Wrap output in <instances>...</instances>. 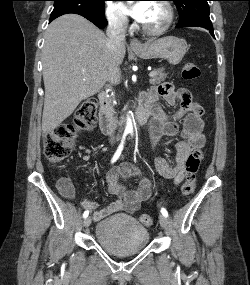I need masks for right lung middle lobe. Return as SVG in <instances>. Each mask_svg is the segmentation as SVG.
<instances>
[{
  "label": "right lung middle lobe",
  "instance_id": "dd1d6c3e",
  "mask_svg": "<svg viewBox=\"0 0 250 285\" xmlns=\"http://www.w3.org/2000/svg\"><path fill=\"white\" fill-rule=\"evenodd\" d=\"M54 9L50 19H55L68 13L88 14L104 17L105 0H53Z\"/></svg>",
  "mask_w": 250,
  "mask_h": 285
}]
</instances>
